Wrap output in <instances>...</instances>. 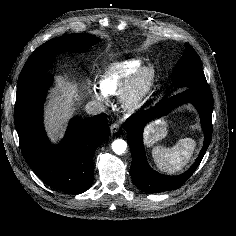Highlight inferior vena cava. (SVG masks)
I'll use <instances>...</instances> for the list:
<instances>
[{"instance_id":"obj_1","label":"inferior vena cava","mask_w":236,"mask_h":236,"mask_svg":"<svg viewBox=\"0 0 236 236\" xmlns=\"http://www.w3.org/2000/svg\"><path fill=\"white\" fill-rule=\"evenodd\" d=\"M85 110L89 115H98L105 112L106 108L100 101H89L85 106Z\"/></svg>"}]
</instances>
